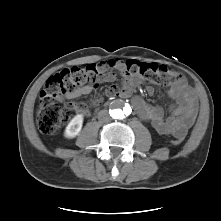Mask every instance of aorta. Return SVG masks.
<instances>
[{
    "label": "aorta",
    "mask_w": 221,
    "mask_h": 221,
    "mask_svg": "<svg viewBox=\"0 0 221 221\" xmlns=\"http://www.w3.org/2000/svg\"><path fill=\"white\" fill-rule=\"evenodd\" d=\"M125 115V112L122 108V106L120 107H117L113 110H111V116L114 118V119H122Z\"/></svg>",
    "instance_id": "obj_1"
}]
</instances>
